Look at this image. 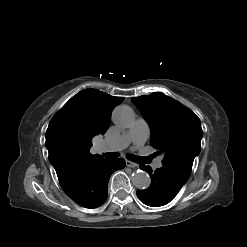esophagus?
Masks as SVG:
<instances>
[{
	"mask_svg": "<svg viewBox=\"0 0 247 247\" xmlns=\"http://www.w3.org/2000/svg\"><path fill=\"white\" fill-rule=\"evenodd\" d=\"M126 166L127 167H130V168H136L137 167V164L129 161V160H126Z\"/></svg>",
	"mask_w": 247,
	"mask_h": 247,
	"instance_id": "obj_1",
	"label": "esophagus"
}]
</instances>
